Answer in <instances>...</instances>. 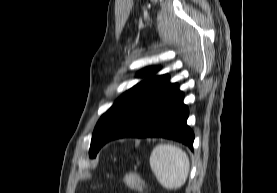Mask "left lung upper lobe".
I'll use <instances>...</instances> for the list:
<instances>
[{
	"label": "left lung upper lobe",
	"instance_id": "left-lung-upper-lobe-1",
	"mask_svg": "<svg viewBox=\"0 0 277 193\" xmlns=\"http://www.w3.org/2000/svg\"><path fill=\"white\" fill-rule=\"evenodd\" d=\"M158 69L159 68L156 67H148L140 71L137 76L145 77V79L125 92L117 101H115L112 107L101 116L92 135L89 150L90 158L96 157L99 149L101 148V139L115 119L144 94L152 91L169 79L168 75L155 76L154 74L158 71Z\"/></svg>",
	"mask_w": 277,
	"mask_h": 193
}]
</instances>
